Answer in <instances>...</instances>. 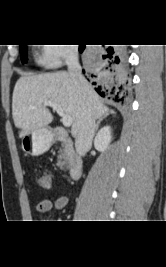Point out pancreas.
<instances>
[{"mask_svg":"<svg viewBox=\"0 0 166 267\" xmlns=\"http://www.w3.org/2000/svg\"><path fill=\"white\" fill-rule=\"evenodd\" d=\"M74 153L72 147L69 143L64 142L62 148L59 150L58 162L57 165L61 170H64L65 167L69 168L70 164L73 162Z\"/></svg>","mask_w":166,"mask_h":267,"instance_id":"pancreas-1","label":"pancreas"}]
</instances>
